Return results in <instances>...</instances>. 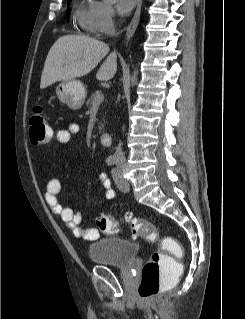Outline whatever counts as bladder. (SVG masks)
Instances as JSON below:
<instances>
[{
  "instance_id": "31cf9c89",
  "label": "bladder",
  "mask_w": 245,
  "mask_h": 319,
  "mask_svg": "<svg viewBox=\"0 0 245 319\" xmlns=\"http://www.w3.org/2000/svg\"><path fill=\"white\" fill-rule=\"evenodd\" d=\"M90 259L96 264L117 268L131 266L138 252V245L119 237L97 238L88 247Z\"/></svg>"
}]
</instances>
